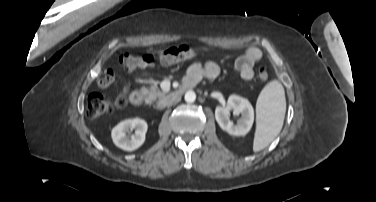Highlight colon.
I'll return each instance as SVG.
<instances>
[{
	"label": "colon",
	"instance_id": "5ec220e1",
	"mask_svg": "<svg viewBox=\"0 0 376 202\" xmlns=\"http://www.w3.org/2000/svg\"><path fill=\"white\" fill-rule=\"evenodd\" d=\"M198 56V50L189 44H181L165 50L157 54H145L135 56L131 54H123L120 56L119 62L126 71H133L137 68L152 67L156 64L171 65L176 62L189 60ZM258 78L265 82L269 78V71L265 66L258 69ZM114 81V73L112 70H104L100 73L97 83L100 88L109 87ZM128 87H124L111 101L103 95L92 93L87 99L86 114L89 118H96L115 108L124 107L127 103Z\"/></svg>",
	"mask_w": 376,
	"mask_h": 202
}]
</instances>
